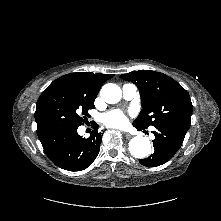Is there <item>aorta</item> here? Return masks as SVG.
I'll return each instance as SVG.
<instances>
[{"mask_svg": "<svg viewBox=\"0 0 221 221\" xmlns=\"http://www.w3.org/2000/svg\"><path fill=\"white\" fill-rule=\"evenodd\" d=\"M101 98L109 104L119 102L122 96L121 89L113 83L105 84L100 91ZM129 151L135 158L143 159L151 153V144L147 137L135 136L129 142Z\"/></svg>", "mask_w": 221, "mask_h": 221, "instance_id": "762f6f07", "label": "aorta"}]
</instances>
